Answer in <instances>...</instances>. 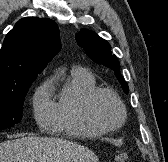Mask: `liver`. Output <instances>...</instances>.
Segmentation results:
<instances>
[{"label": "liver", "mask_w": 168, "mask_h": 162, "mask_svg": "<svg viewBox=\"0 0 168 162\" xmlns=\"http://www.w3.org/2000/svg\"><path fill=\"white\" fill-rule=\"evenodd\" d=\"M86 147L60 138L22 137L0 143V162H97Z\"/></svg>", "instance_id": "liver-1"}]
</instances>
